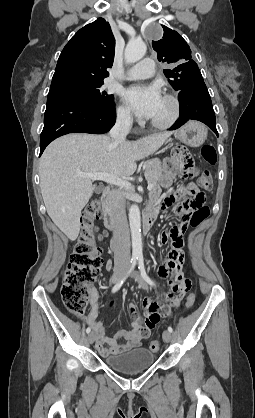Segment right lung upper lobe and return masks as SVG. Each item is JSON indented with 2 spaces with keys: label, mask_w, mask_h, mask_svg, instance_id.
I'll return each instance as SVG.
<instances>
[{
  "label": "right lung upper lobe",
  "mask_w": 255,
  "mask_h": 418,
  "mask_svg": "<svg viewBox=\"0 0 255 418\" xmlns=\"http://www.w3.org/2000/svg\"><path fill=\"white\" fill-rule=\"evenodd\" d=\"M115 38L103 18L81 28L62 50L52 84L103 82L114 60Z\"/></svg>",
  "instance_id": "cb5924a9"
}]
</instances>
